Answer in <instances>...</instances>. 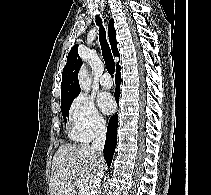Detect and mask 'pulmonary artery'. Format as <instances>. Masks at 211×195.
<instances>
[{"label":"pulmonary artery","instance_id":"obj_1","mask_svg":"<svg viewBox=\"0 0 211 195\" xmlns=\"http://www.w3.org/2000/svg\"><path fill=\"white\" fill-rule=\"evenodd\" d=\"M100 84L104 89H110L113 86L112 79L109 74L105 73L100 77Z\"/></svg>","mask_w":211,"mask_h":195}]
</instances>
